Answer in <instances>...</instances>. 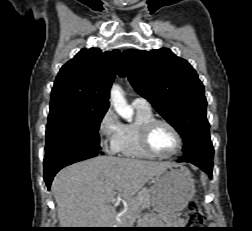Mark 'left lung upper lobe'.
I'll return each instance as SVG.
<instances>
[{
	"label": "left lung upper lobe",
	"instance_id": "5c2ea615",
	"mask_svg": "<svg viewBox=\"0 0 252 231\" xmlns=\"http://www.w3.org/2000/svg\"><path fill=\"white\" fill-rule=\"evenodd\" d=\"M119 75L183 137V152L211 145L202 82L192 66L170 49H128L121 54Z\"/></svg>",
	"mask_w": 252,
	"mask_h": 231
}]
</instances>
